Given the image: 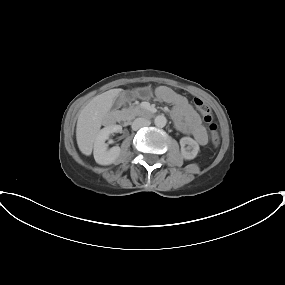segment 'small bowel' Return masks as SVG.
I'll list each match as a JSON object with an SVG mask.
<instances>
[{
  "label": "small bowel",
  "mask_w": 285,
  "mask_h": 285,
  "mask_svg": "<svg viewBox=\"0 0 285 285\" xmlns=\"http://www.w3.org/2000/svg\"><path fill=\"white\" fill-rule=\"evenodd\" d=\"M155 95L160 101L173 106L172 115L180 132L191 135L200 145L207 143L208 136L201 119L185 97L167 86L158 87Z\"/></svg>",
  "instance_id": "small-bowel-1"
}]
</instances>
